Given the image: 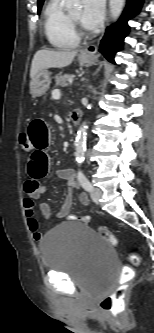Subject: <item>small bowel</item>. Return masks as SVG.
Returning a JSON list of instances; mask_svg holds the SVG:
<instances>
[{
  "label": "small bowel",
  "mask_w": 154,
  "mask_h": 333,
  "mask_svg": "<svg viewBox=\"0 0 154 333\" xmlns=\"http://www.w3.org/2000/svg\"><path fill=\"white\" fill-rule=\"evenodd\" d=\"M27 135L32 147V152L28 158L27 165L29 179L24 184V192L27 195V198L24 200V208L33 239L40 241L42 234L39 231L38 222L35 217L34 201L40 200L46 190L42 179L49 171L48 149L51 143V132L48 124L44 120L35 119L30 123ZM56 176L66 181L68 194L55 216L65 218L69 216L73 192L79 188V184L71 169H58ZM78 200L84 206L89 204L88 197L84 193L79 194ZM39 210L45 220L49 222L53 221L54 215L48 203L40 202Z\"/></svg>",
  "instance_id": "1"
}]
</instances>
